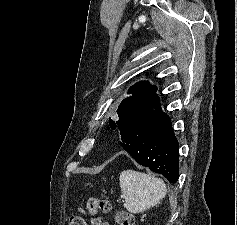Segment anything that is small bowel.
Wrapping results in <instances>:
<instances>
[{
  "mask_svg": "<svg viewBox=\"0 0 237 225\" xmlns=\"http://www.w3.org/2000/svg\"><path fill=\"white\" fill-rule=\"evenodd\" d=\"M92 225H110V224L101 220H95L92 222Z\"/></svg>",
  "mask_w": 237,
  "mask_h": 225,
  "instance_id": "c3829d8e",
  "label": "small bowel"
}]
</instances>
